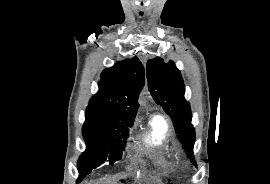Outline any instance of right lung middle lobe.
<instances>
[{"label":"right lung middle lobe","mask_w":270,"mask_h":184,"mask_svg":"<svg viewBox=\"0 0 270 184\" xmlns=\"http://www.w3.org/2000/svg\"><path fill=\"white\" fill-rule=\"evenodd\" d=\"M133 123L134 121L117 122L94 119L86 111L82 133L87 148L78 160L80 173L78 181L90 174L92 169L103 164L107 158L110 164L121 159L128 137V128Z\"/></svg>","instance_id":"obj_1"}]
</instances>
